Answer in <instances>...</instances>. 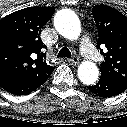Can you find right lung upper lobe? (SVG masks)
Returning <instances> with one entry per match:
<instances>
[{
  "mask_svg": "<svg viewBox=\"0 0 127 127\" xmlns=\"http://www.w3.org/2000/svg\"><path fill=\"white\" fill-rule=\"evenodd\" d=\"M54 7H29L0 20V80L15 75L43 76L47 65L39 34Z\"/></svg>",
  "mask_w": 127,
  "mask_h": 127,
  "instance_id": "cb5924a9",
  "label": "right lung upper lobe"
}]
</instances>
